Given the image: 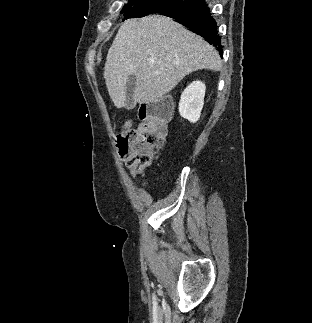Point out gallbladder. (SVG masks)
<instances>
[{
	"instance_id": "obj_1",
	"label": "gallbladder",
	"mask_w": 312,
	"mask_h": 323,
	"mask_svg": "<svg viewBox=\"0 0 312 323\" xmlns=\"http://www.w3.org/2000/svg\"><path fill=\"white\" fill-rule=\"evenodd\" d=\"M136 88V76H128V80L126 82V106L127 110H132L134 108V100H133V94L135 92Z\"/></svg>"
}]
</instances>
